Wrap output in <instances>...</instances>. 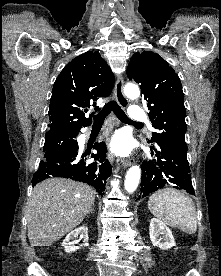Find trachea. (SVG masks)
Wrapping results in <instances>:
<instances>
[{"label":"trachea","mask_w":221,"mask_h":276,"mask_svg":"<svg viewBox=\"0 0 221 276\" xmlns=\"http://www.w3.org/2000/svg\"><path fill=\"white\" fill-rule=\"evenodd\" d=\"M111 111L114 112V114L117 116V118L124 122V123H128V124H137V125H140L141 123L139 122H134V121H131L127 115L125 114V112L121 109V107L117 104L116 101L114 100H111L109 101L103 108V110L95 115L93 117L94 119V125H102L103 122H104V119L105 117L111 113Z\"/></svg>","instance_id":"3493384b"}]
</instances>
